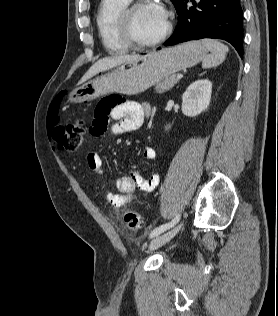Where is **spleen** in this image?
<instances>
[{
  "mask_svg": "<svg viewBox=\"0 0 278 316\" xmlns=\"http://www.w3.org/2000/svg\"><path fill=\"white\" fill-rule=\"evenodd\" d=\"M202 44L204 47L210 51L209 55H206L202 61L203 68H211L222 63L229 49L223 43L214 39H202Z\"/></svg>",
  "mask_w": 278,
  "mask_h": 316,
  "instance_id": "spleen-1",
  "label": "spleen"
}]
</instances>
